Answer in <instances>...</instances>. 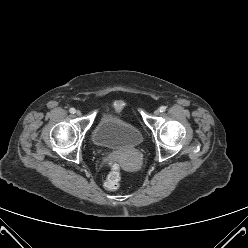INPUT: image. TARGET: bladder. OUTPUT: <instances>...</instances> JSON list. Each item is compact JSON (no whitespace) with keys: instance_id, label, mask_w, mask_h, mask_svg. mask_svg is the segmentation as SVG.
<instances>
[{"instance_id":"31cf9c89","label":"bladder","mask_w":248,"mask_h":248,"mask_svg":"<svg viewBox=\"0 0 248 248\" xmlns=\"http://www.w3.org/2000/svg\"><path fill=\"white\" fill-rule=\"evenodd\" d=\"M96 146L108 149L136 148L143 142L141 130L121 118L108 115L103 117L92 131Z\"/></svg>"}]
</instances>
